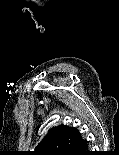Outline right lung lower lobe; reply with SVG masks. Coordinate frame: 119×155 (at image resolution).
<instances>
[{"instance_id": "obj_1", "label": "right lung lower lobe", "mask_w": 119, "mask_h": 155, "mask_svg": "<svg viewBox=\"0 0 119 155\" xmlns=\"http://www.w3.org/2000/svg\"><path fill=\"white\" fill-rule=\"evenodd\" d=\"M88 150V141L81 139L73 144L63 155H90Z\"/></svg>"}]
</instances>
